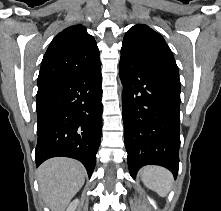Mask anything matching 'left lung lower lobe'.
Wrapping results in <instances>:
<instances>
[{"mask_svg":"<svg viewBox=\"0 0 221 211\" xmlns=\"http://www.w3.org/2000/svg\"><path fill=\"white\" fill-rule=\"evenodd\" d=\"M123 121L130 175L148 164L177 177L180 146V81L120 60Z\"/></svg>","mask_w":221,"mask_h":211,"instance_id":"1","label":"left lung lower lobe"}]
</instances>
